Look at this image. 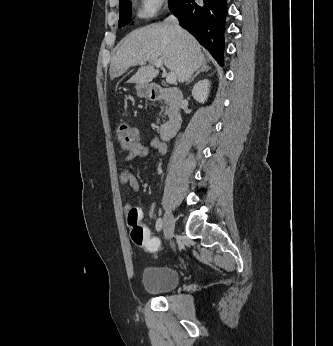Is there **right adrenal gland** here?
Segmentation results:
<instances>
[{"mask_svg": "<svg viewBox=\"0 0 333 346\" xmlns=\"http://www.w3.org/2000/svg\"><path fill=\"white\" fill-rule=\"evenodd\" d=\"M211 68L206 64V63H203L200 68L196 71V73L190 77V79L186 82V85L189 84L190 82H192L194 80L195 77H197V75H199L201 72H204V71H209Z\"/></svg>", "mask_w": 333, "mask_h": 346, "instance_id": "2a0ac1e0", "label": "right adrenal gland"}]
</instances>
